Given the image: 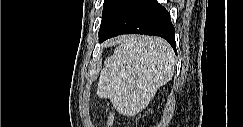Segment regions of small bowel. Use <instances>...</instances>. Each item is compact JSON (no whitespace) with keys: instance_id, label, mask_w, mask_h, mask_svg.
Here are the masks:
<instances>
[{"instance_id":"1","label":"small bowel","mask_w":243,"mask_h":127,"mask_svg":"<svg viewBox=\"0 0 243 127\" xmlns=\"http://www.w3.org/2000/svg\"><path fill=\"white\" fill-rule=\"evenodd\" d=\"M113 121H114V116L113 114H110L107 122L108 126H111L113 124Z\"/></svg>"}]
</instances>
